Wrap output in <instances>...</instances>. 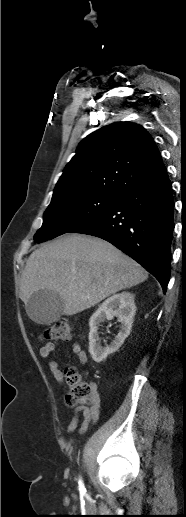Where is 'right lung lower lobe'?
I'll list each match as a JSON object with an SVG mask.
<instances>
[{"label":"right lung lower lobe","mask_w":186,"mask_h":517,"mask_svg":"<svg viewBox=\"0 0 186 517\" xmlns=\"http://www.w3.org/2000/svg\"><path fill=\"white\" fill-rule=\"evenodd\" d=\"M174 201L168 175L132 188L118 201L68 233L102 238L129 255L161 284L170 278Z\"/></svg>","instance_id":"1"}]
</instances>
